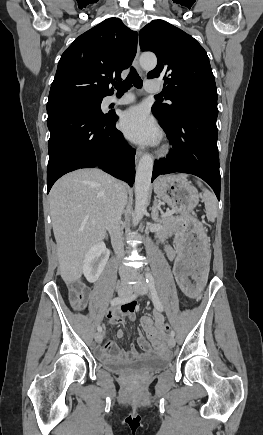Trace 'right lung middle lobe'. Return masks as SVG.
I'll return each mask as SVG.
<instances>
[{
  "mask_svg": "<svg viewBox=\"0 0 263 435\" xmlns=\"http://www.w3.org/2000/svg\"><path fill=\"white\" fill-rule=\"evenodd\" d=\"M101 102L102 99H92L50 105L47 106L48 118L59 113L72 111H88L99 115H105L101 111Z\"/></svg>",
  "mask_w": 263,
  "mask_h": 435,
  "instance_id": "dd1d6c3e",
  "label": "right lung middle lobe"
}]
</instances>
